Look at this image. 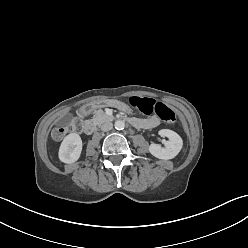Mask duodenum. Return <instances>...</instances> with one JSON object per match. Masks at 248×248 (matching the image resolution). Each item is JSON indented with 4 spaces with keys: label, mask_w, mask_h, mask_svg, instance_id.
<instances>
[{
    "label": "duodenum",
    "mask_w": 248,
    "mask_h": 248,
    "mask_svg": "<svg viewBox=\"0 0 248 248\" xmlns=\"http://www.w3.org/2000/svg\"><path fill=\"white\" fill-rule=\"evenodd\" d=\"M95 109V104H91L89 106H87L86 108H84L82 110V114L83 115H88L89 113L92 112V110ZM128 122L131 123L132 125H139L140 122L136 119H128ZM96 129V123L93 122V121H88V122H85L84 125H83V131L86 133V134H92Z\"/></svg>",
    "instance_id": "duodenum-1"
}]
</instances>
